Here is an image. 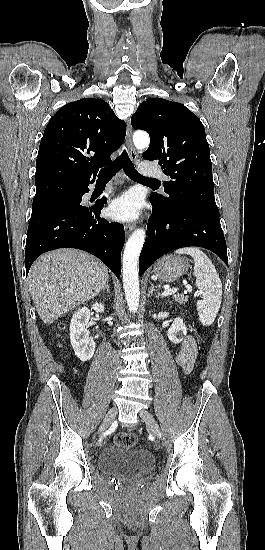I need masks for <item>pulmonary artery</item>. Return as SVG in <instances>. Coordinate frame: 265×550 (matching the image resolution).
<instances>
[{
	"instance_id": "1",
	"label": "pulmonary artery",
	"mask_w": 265,
	"mask_h": 550,
	"mask_svg": "<svg viewBox=\"0 0 265 550\" xmlns=\"http://www.w3.org/2000/svg\"><path fill=\"white\" fill-rule=\"evenodd\" d=\"M142 165H143V163H142ZM147 174L149 176H152V177L165 179V176L163 175V173L158 169H156V170H147Z\"/></svg>"
}]
</instances>
